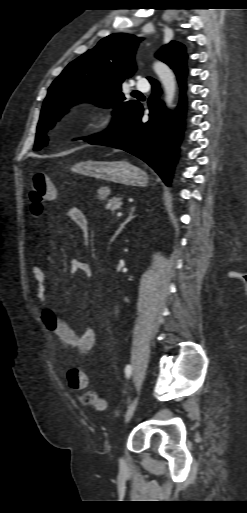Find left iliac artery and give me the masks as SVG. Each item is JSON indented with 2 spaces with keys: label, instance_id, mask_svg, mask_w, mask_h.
<instances>
[{
  "label": "left iliac artery",
  "instance_id": "1",
  "mask_svg": "<svg viewBox=\"0 0 247 513\" xmlns=\"http://www.w3.org/2000/svg\"><path fill=\"white\" fill-rule=\"evenodd\" d=\"M125 374H126V376H127L128 378L131 376V374H132V366H131V365H127V366L125 367Z\"/></svg>",
  "mask_w": 247,
  "mask_h": 513
}]
</instances>
